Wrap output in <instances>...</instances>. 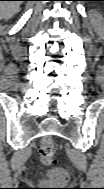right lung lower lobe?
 <instances>
[{
  "label": "right lung lower lobe",
  "instance_id": "98d812e1",
  "mask_svg": "<svg viewBox=\"0 0 104 189\" xmlns=\"http://www.w3.org/2000/svg\"><path fill=\"white\" fill-rule=\"evenodd\" d=\"M15 1H28V0H15Z\"/></svg>",
  "mask_w": 104,
  "mask_h": 189
}]
</instances>
